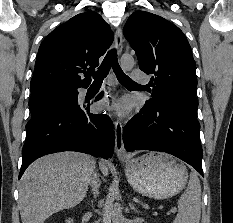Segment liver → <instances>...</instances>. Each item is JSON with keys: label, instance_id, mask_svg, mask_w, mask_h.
Returning a JSON list of instances; mask_svg holds the SVG:
<instances>
[{"label": "liver", "instance_id": "liver-1", "mask_svg": "<svg viewBox=\"0 0 233 223\" xmlns=\"http://www.w3.org/2000/svg\"><path fill=\"white\" fill-rule=\"evenodd\" d=\"M94 165L91 155L77 151L50 153L31 163L19 185L22 223H44L52 213L78 205L86 195ZM100 169L108 175L106 161H100Z\"/></svg>", "mask_w": 233, "mask_h": 223}]
</instances>
